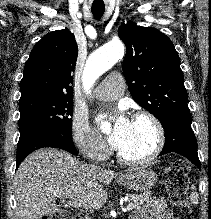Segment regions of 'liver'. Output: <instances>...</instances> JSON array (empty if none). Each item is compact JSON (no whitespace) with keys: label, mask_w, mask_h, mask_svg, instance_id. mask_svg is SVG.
Returning <instances> with one entry per match:
<instances>
[{"label":"liver","mask_w":211,"mask_h":219,"mask_svg":"<svg viewBox=\"0 0 211 219\" xmlns=\"http://www.w3.org/2000/svg\"><path fill=\"white\" fill-rule=\"evenodd\" d=\"M114 176L112 170L81 164L62 150L33 152L15 174L14 219H41L63 212L56 205L58 197L68 199L81 211L98 210L107 200L104 185H109Z\"/></svg>","instance_id":"6515ba94"}]
</instances>
